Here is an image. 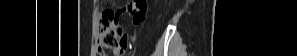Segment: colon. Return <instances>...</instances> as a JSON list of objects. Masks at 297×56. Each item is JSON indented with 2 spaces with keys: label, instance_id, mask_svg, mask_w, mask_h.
<instances>
[{
  "label": "colon",
  "instance_id": "1",
  "mask_svg": "<svg viewBox=\"0 0 297 56\" xmlns=\"http://www.w3.org/2000/svg\"><path fill=\"white\" fill-rule=\"evenodd\" d=\"M134 23H141L147 12L146 0H133L129 6ZM121 12L106 10L98 23V46L100 49L119 47L122 29L119 25Z\"/></svg>",
  "mask_w": 297,
  "mask_h": 56
}]
</instances>
